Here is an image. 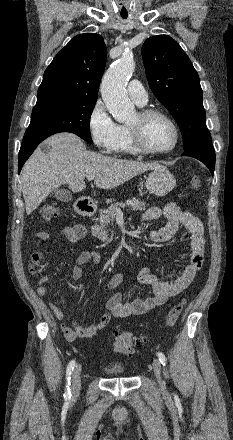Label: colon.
I'll return each mask as SVG.
<instances>
[{"mask_svg": "<svg viewBox=\"0 0 233 440\" xmlns=\"http://www.w3.org/2000/svg\"><path fill=\"white\" fill-rule=\"evenodd\" d=\"M200 178L193 176L190 179V187L196 190L200 186ZM59 214V208L55 204H46L41 208L40 216L43 221H50L55 219ZM41 259V255L38 252H34L31 256V265L36 266ZM185 306V301H181L174 305L168 312L165 318V326L170 327L180 317ZM149 341L147 337H136L132 333L118 328L114 331V350L117 353L130 356L134 352L135 347H144Z\"/></svg>", "mask_w": 233, "mask_h": 440, "instance_id": "1", "label": "colon"}]
</instances>
